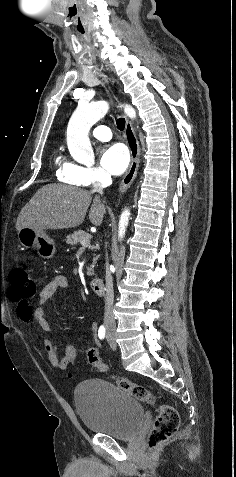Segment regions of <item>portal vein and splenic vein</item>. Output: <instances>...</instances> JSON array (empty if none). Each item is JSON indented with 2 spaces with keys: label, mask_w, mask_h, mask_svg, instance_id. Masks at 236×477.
I'll return each mask as SVG.
<instances>
[{
  "label": "portal vein and splenic vein",
  "mask_w": 236,
  "mask_h": 477,
  "mask_svg": "<svg viewBox=\"0 0 236 477\" xmlns=\"http://www.w3.org/2000/svg\"><path fill=\"white\" fill-rule=\"evenodd\" d=\"M88 244H89V241H88L87 239H84V240L81 241V245H82L83 247H87Z\"/></svg>",
  "instance_id": "18ae733b"
}]
</instances>
